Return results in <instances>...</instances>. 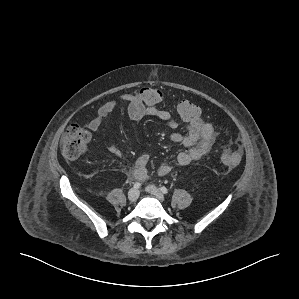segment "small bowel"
<instances>
[{"label": "small bowel", "instance_id": "obj_1", "mask_svg": "<svg viewBox=\"0 0 299 299\" xmlns=\"http://www.w3.org/2000/svg\"><path fill=\"white\" fill-rule=\"evenodd\" d=\"M121 103L126 104L128 115L133 121H139L146 116H154L167 124L172 130L170 134L171 140L185 147V150L177 156V164L180 166H187L202 160L211 151L216 141L217 134L212 124L199 117L189 122L186 131L181 132L179 131V121L169 111L159 107H148L141 99L139 91L124 93L118 101H107L102 104L98 108L96 116L89 123V129L97 132L103 125L105 118L117 109ZM107 150L114 155H120V150L115 145H108ZM149 160L150 156L143 154L135 161L133 177L136 180L145 181L148 178L147 165ZM171 170L172 166L165 164L159 167L158 174L165 176Z\"/></svg>", "mask_w": 299, "mask_h": 299}]
</instances>
